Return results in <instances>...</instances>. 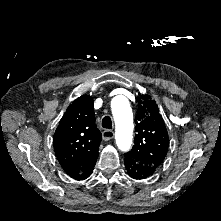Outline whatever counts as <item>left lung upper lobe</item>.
Listing matches in <instances>:
<instances>
[{
  "label": "left lung upper lobe",
  "mask_w": 221,
  "mask_h": 221,
  "mask_svg": "<svg viewBox=\"0 0 221 221\" xmlns=\"http://www.w3.org/2000/svg\"><path fill=\"white\" fill-rule=\"evenodd\" d=\"M135 130L134 146L125 155L154 173L166 157L169 137L156 102L147 94L138 98Z\"/></svg>",
  "instance_id": "obj_1"
}]
</instances>
